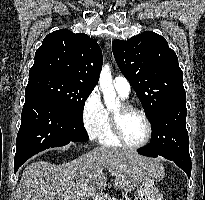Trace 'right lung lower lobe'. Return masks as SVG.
I'll use <instances>...</instances> for the list:
<instances>
[{
	"mask_svg": "<svg viewBox=\"0 0 205 200\" xmlns=\"http://www.w3.org/2000/svg\"><path fill=\"white\" fill-rule=\"evenodd\" d=\"M87 140L83 122L46 97L27 94L17 134L14 171L27 159L45 149Z\"/></svg>",
	"mask_w": 205,
	"mask_h": 200,
	"instance_id": "right-lung-lower-lobe-1",
	"label": "right lung lower lobe"
}]
</instances>
